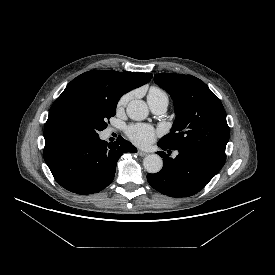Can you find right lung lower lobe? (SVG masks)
<instances>
[{"label":"right lung lower lobe","instance_id":"obj_1","mask_svg":"<svg viewBox=\"0 0 275 275\" xmlns=\"http://www.w3.org/2000/svg\"><path fill=\"white\" fill-rule=\"evenodd\" d=\"M136 148L121 136L110 145L96 137L53 136L45 139L44 160L55 180L77 194H93L113 181L116 164Z\"/></svg>","mask_w":275,"mask_h":275}]
</instances>
